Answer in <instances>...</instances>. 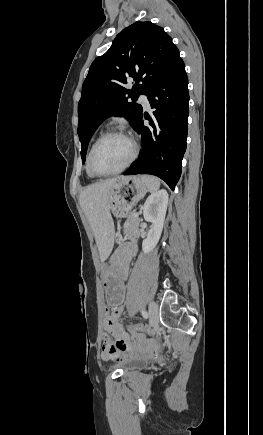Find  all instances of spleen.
<instances>
[{
  "mask_svg": "<svg viewBox=\"0 0 263 435\" xmlns=\"http://www.w3.org/2000/svg\"><path fill=\"white\" fill-rule=\"evenodd\" d=\"M141 179L146 184L150 192H155L160 187V180L154 176L143 175L141 176Z\"/></svg>",
  "mask_w": 263,
  "mask_h": 435,
  "instance_id": "spleen-1",
  "label": "spleen"
}]
</instances>
